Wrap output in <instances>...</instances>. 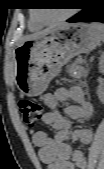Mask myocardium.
I'll list each match as a JSON object with an SVG mask.
<instances>
[{"label": "myocardium", "instance_id": "myocardium-1", "mask_svg": "<svg viewBox=\"0 0 104 169\" xmlns=\"http://www.w3.org/2000/svg\"><path fill=\"white\" fill-rule=\"evenodd\" d=\"M71 14H72V12L69 11V12L65 13L64 15H62L61 17H59L58 19H55V20H52V21H44L38 16H34V17L36 18V20L39 23L44 24V25H49V24H56V23L65 21L71 16Z\"/></svg>", "mask_w": 104, "mask_h": 169}]
</instances>
